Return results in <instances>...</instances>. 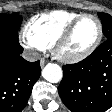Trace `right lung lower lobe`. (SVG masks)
Masks as SVG:
<instances>
[{"instance_id":"right-lung-lower-lobe-1","label":"right lung lower lobe","mask_w":112,"mask_h":112,"mask_svg":"<svg viewBox=\"0 0 112 112\" xmlns=\"http://www.w3.org/2000/svg\"><path fill=\"white\" fill-rule=\"evenodd\" d=\"M18 42L0 39V112H21L40 77L39 61L28 62Z\"/></svg>"}]
</instances>
